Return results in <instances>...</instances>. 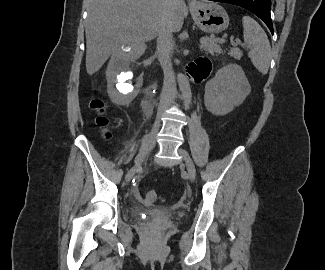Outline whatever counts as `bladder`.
Masks as SVG:
<instances>
[{"label":"bladder","instance_id":"bladder-1","mask_svg":"<svg viewBox=\"0 0 325 270\" xmlns=\"http://www.w3.org/2000/svg\"><path fill=\"white\" fill-rule=\"evenodd\" d=\"M152 214H153V215H165L166 212H164V211H159V210H154V211H152Z\"/></svg>","mask_w":325,"mask_h":270}]
</instances>
